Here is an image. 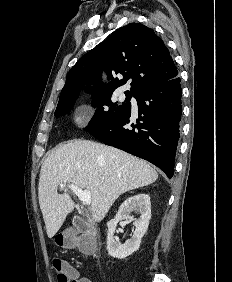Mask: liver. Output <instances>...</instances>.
<instances>
[{
	"label": "liver",
	"mask_w": 232,
	"mask_h": 282,
	"mask_svg": "<svg viewBox=\"0 0 232 282\" xmlns=\"http://www.w3.org/2000/svg\"><path fill=\"white\" fill-rule=\"evenodd\" d=\"M158 173L145 161L119 149L90 140H72L51 152L39 178L38 197L47 235L52 238L74 202L59 185L71 183L91 193V211L101 221L123 193L155 182Z\"/></svg>",
	"instance_id": "liver-1"
}]
</instances>
